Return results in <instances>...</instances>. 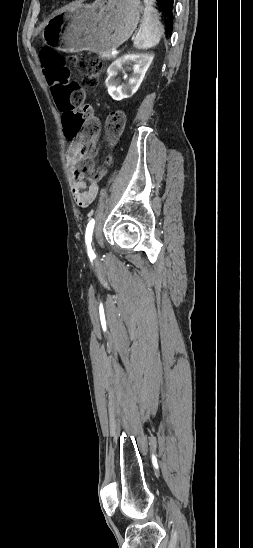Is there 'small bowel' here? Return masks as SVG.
<instances>
[{
	"instance_id": "c3829d8e",
	"label": "small bowel",
	"mask_w": 253,
	"mask_h": 548,
	"mask_svg": "<svg viewBox=\"0 0 253 548\" xmlns=\"http://www.w3.org/2000/svg\"><path fill=\"white\" fill-rule=\"evenodd\" d=\"M84 141V136L71 137L66 151V167L69 174L71 193L76 204L83 208L94 201L99 189L97 181L89 179V185H87L85 182L86 177L76 171V164L81 157Z\"/></svg>"
}]
</instances>
